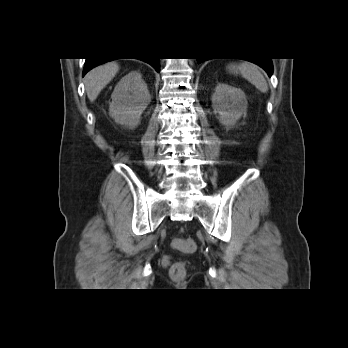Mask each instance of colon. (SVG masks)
<instances>
[{"label": "colon", "instance_id": "5ec220e1", "mask_svg": "<svg viewBox=\"0 0 348 348\" xmlns=\"http://www.w3.org/2000/svg\"><path fill=\"white\" fill-rule=\"evenodd\" d=\"M172 245L175 249L184 252L191 253L196 249V245L193 240L185 238H175L172 241ZM185 273V265L182 262L175 263L171 268V275L173 277H180Z\"/></svg>", "mask_w": 348, "mask_h": 348}]
</instances>
